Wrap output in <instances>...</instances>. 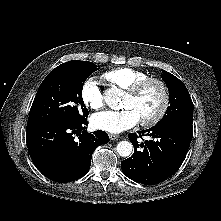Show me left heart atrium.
<instances>
[{"label":"left heart atrium","instance_id":"left-heart-atrium-1","mask_svg":"<svg viewBox=\"0 0 221 221\" xmlns=\"http://www.w3.org/2000/svg\"><path fill=\"white\" fill-rule=\"evenodd\" d=\"M91 121L97 129L109 133H120L138 124L140 119L134 110L125 108L120 111L108 110L97 113L93 115Z\"/></svg>","mask_w":221,"mask_h":221}]
</instances>
